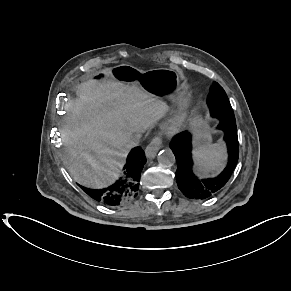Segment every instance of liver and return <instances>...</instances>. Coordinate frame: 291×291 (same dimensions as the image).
Returning a JSON list of instances; mask_svg holds the SVG:
<instances>
[{
	"mask_svg": "<svg viewBox=\"0 0 291 291\" xmlns=\"http://www.w3.org/2000/svg\"><path fill=\"white\" fill-rule=\"evenodd\" d=\"M69 102L61 127L64 162L83 186L102 188L119 178L130 147L167 112L166 104L136 83L117 80L107 70L89 77Z\"/></svg>",
	"mask_w": 291,
	"mask_h": 291,
	"instance_id": "liver-1",
	"label": "liver"
}]
</instances>
